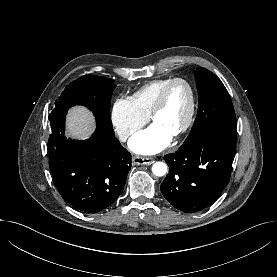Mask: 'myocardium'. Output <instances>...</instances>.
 Instances as JSON below:
<instances>
[{
    "instance_id": "f54148a6",
    "label": "myocardium",
    "mask_w": 277,
    "mask_h": 277,
    "mask_svg": "<svg viewBox=\"0 0 277 277\" xmlns=\"http://www.w3.org/2000/svg\"><path fill=\"white\" fill-rule=\"evenodd\" d=\"M176 83H181L183 84L188 92V108H187V114H186V118L184 123L182 124V126L180 127V129L173 134V137L177 138L179 137L181 134L185 133L191 126L192 122H193V116H194V111H195V100H194V92L192 89V86L190 85V83L183 79V78H173L170 79L160 90L155 103L151 109L150 112V119L152 121H154L155 117L157 116V114L160 112V110L163 108L164 103H165V99L167 96V93L170 89V87Z\"/></svg>"
}]
</instances>
